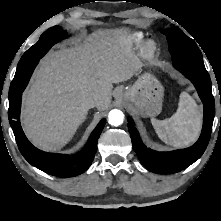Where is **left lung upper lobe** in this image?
Segmentation results:
<instances>
[{"label":"left lung upper lobe","mask_w":221,"mask_h":221,"mask_svg":"<svg viewBox=\"0 0 221 221\" xmlns=\"http://www.w3.org/2000/svg\"><path fill=\"white\" fill-rule=\"evenodd\" d=\"M161 32L167 36L169 52L173 61H182L205 67L203 56L198 46L180 28L162 29Z\"/></svg>","instance_id":"left-lung-upper-lobe-1"}]
</instances>
